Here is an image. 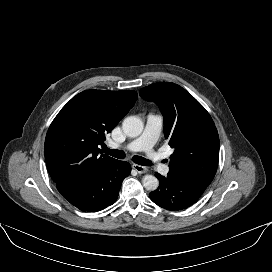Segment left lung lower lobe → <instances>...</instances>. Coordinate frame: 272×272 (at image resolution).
I'll return each mask as SVG.
<instances>
[{
	"label": "left lung lower lobe",
	"instance_id": "0a47b994",
	"mask_svg": "<svg viewBox=\"0 0 272 272\" xmlns=\"http://www.w3.org/2000/svg\"><path fill=\"white\" fill-rule=\"evenodd\" d=\"M160 184L158 189L151 192V200L158 206L167 210H183L197 202L206 185L187 179L185 177L168 173L167 177L156 173Z\"/></svg>",
	"mask_w": 272,
	"mask_h": 272
}]
</instances>
